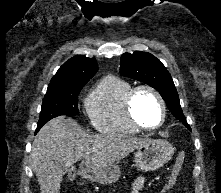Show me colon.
<instances>
[{
    "label": "colon",
    "mask_w": 221,
    "mask_h": 193,
    "mask_svg": "<svg viewBox=\"0 0 221 193\" xmlns=\"http://www.w3.org/2000/svg\"><path fill=\"white\" fill-rule=\"evenodd\" d=\"M184 160H185V154L182 152L177 156L174 166H173V169H172V172H171V175H170L167 183L164 185L161 193H166L168 190H170L174 186L176 179H177V177L183 167Z\"/></svg>",
    "instance_id": "colon-1"
}]
</instances>
